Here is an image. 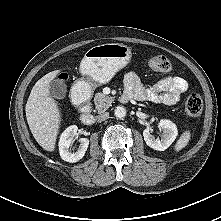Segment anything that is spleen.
<instances>
[{"instance_id": "spleen-1", "label": "spleen", "mask_w": 221, "mask_h": 221, "mask_svg": "<svg viewBox=\"0 0 221 221\" xmlns=\"http://www.w3.org/2000/svg\"><path fill=\"white\" fill-rule=\"evenodd\" d=\"M190 137H191V133L190 131H185L181 137L177 140L176 144H175V151H180L182 150L184 147L187 146L189 140H190Z\"/></svg>"}]
</instances>
